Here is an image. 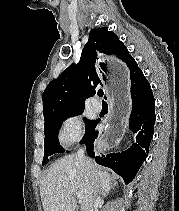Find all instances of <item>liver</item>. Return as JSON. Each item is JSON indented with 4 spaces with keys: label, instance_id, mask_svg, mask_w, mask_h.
I'll return each mask as SVG.
<instances>
[{
    "label": "liver",
    "instance_id": "1",
    "mask_svg": "<svg viewBox=\"0 0 179 211\" xmlns=\"http://www.w3.org/2000/svg\"><path fill=\"white\" fill-rule=\"evenodd\" d=\"M112 187L107 171L91 162L88 172L79 162L77 154L66 155L55 161L41 182L40 195L44 211H75V193L83 194L81 211H94L98 202L95 192L106 194Z\"/></svg>",
    "mask_w": 179,
    "mask_h": 211
}]
</instances>
